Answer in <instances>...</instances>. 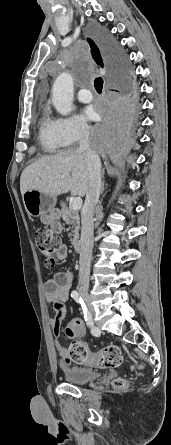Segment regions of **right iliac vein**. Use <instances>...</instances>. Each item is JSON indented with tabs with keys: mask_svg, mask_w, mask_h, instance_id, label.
Here are the masks:
<instances>
[{
	"mask_svg": "<svg viewBox=\"0 0 171 445\" xmlns=\"http://www.w3.org/2000/svg\"><path fill=\"white\" fill-rule=\"evenodd\" d=\"M81 296H82L83 300L85 301V303L87 304V306H88L89 309H90V313H89V314L92 315L93 312H94V310H93V307H92V305H91V303H90V297H89V295L87 294V292L82 291V292H81Z\"/></svg>",
	"mask_w": 171,
	"mask_h": 445,
	"instance_id": "obj_1",
	"label": "right iliac vein"
}]
</instances>
